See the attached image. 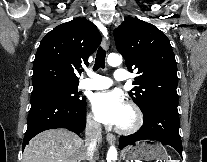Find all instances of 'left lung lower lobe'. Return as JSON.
I'll list each match as a JSON object with an SVG mask.
<instances>
[{
  "label": "left lung lower lobe",
  "mask_w": 207,
  "mask_h": 162,
  "mask_svg": "<svg viewBox=\"0 0 207 162\" xmlns=\"http://www.w3.org/2000/svg\"><path fill=\"white\" fill-rule=\"evenodd\" d=\"M178 101L159 99L145 111L144 125L136 133L121 136L119 149L139 140H156L175 148L182 156V143L179 135Z\"/></svg>",
  "instance_id": "1"
}]
</instances>
